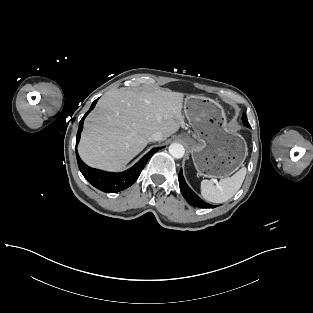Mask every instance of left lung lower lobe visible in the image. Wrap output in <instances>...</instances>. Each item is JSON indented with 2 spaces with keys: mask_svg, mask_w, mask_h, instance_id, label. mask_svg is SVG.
<instances>
[{
  "mask_svg": "<svg viewBox=\"0 0 313 313\" xmlns=\"http://www.w3.org/2000/svg\"><path fill=\"white\" fill-rule=\"evenodd\" d=\"M178 179H179V187H180L181 193H182L183 197L185 198V200L191 206L200 207V208H214V207H216L215 205H210V204L204 202L197 194H195L191 190V188L187 185V183L183 177L182 169L179 172Z\"/></svg>",
  "mask_w": 313,
  "mask_h": 313,
  "instance_id": "1",
  "label": "left lung lower lobe"
}]
</instances>
